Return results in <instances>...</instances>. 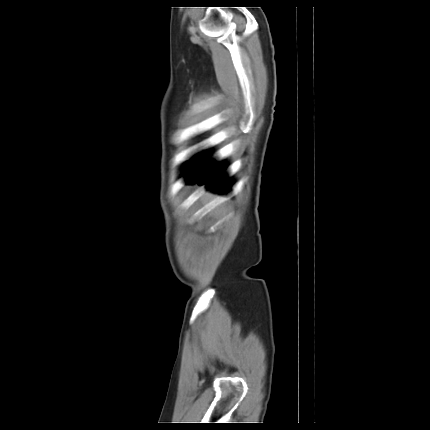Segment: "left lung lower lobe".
Returning a JSON list of instances; mask_svg holds the SVG:
<instances>
[{
    "label": "left lung lower lobe",
    "instance_id": "left-lung-lower-lobe-1",
    "mask_svg": "<svg viewBox=\"0 0 430 430\" xmlns=\"http://www.w3.org/2000/svg\"><path fill=\"white\" fill-rule=\"evenodd\" d=\"M205 152L193 158L186 170L188 183L198 182L200 185L207 183L209 189L225 193L230 190L231 180L224 175L225 165L209 159Z\"/></svg>",
    "mask_w": 430,
    "mask_h": 430
}]
</instances>
